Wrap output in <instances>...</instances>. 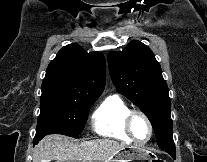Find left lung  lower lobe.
<instances>
[{
	"instance_id": "left-lung-lower-lobe-1",
	"label": "left lung lower lobe",
	"mask_w": 207,
	"mask_h": 162,
	"mask_svg": "<svg viewBox=\"0 0 207 162\" xmlns=\"http://www.w3.org/2000/svg\"><path fill=\"white\" fill-rule=\"evenodd\" d=\"M163 150H165L167 153H169L172 156L173 159L176 158L175 145L171 146V147L164 148Z\"/></svg>"
}]
</instances>
